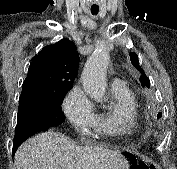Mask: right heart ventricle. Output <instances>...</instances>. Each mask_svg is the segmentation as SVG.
Here are the masks:
<instances>
[{"instance_id":"e07e8e85","label":"right heart ventricle","mask_w":177,"mask_h":169,"mask_svg":"<svg viewBox=\"0 0 177 169\" xmlns=\"http://www.w3.org/2000/svg\"><path fill=\"white\" fill-rule=\"evenodd\" d=\"M113 103L96 113L94 127L106 136L128 135L138 127L139 109L134 93L126 86L112 89Z\"/></svg>"}]
</instances>
